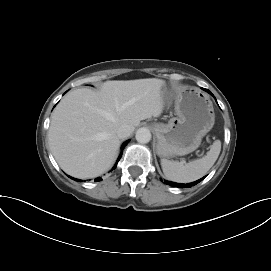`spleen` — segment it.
<instances>
[{"label":"spleen","mask_w":271,"mask_h":271,"mask_svg":"<svg viewBox=\"0 0 271 271\" xmlns=\"http://www.w3.org/2000/svg\"><path fill=\"white\" fill-rule=\"evenodd\" d=\"M221 151V141L216 140L207 154L184 164L183 162L161 159V167L165 177L178 183H189L203 177L216 162Z\"/></svg>","instance_id":"3e777b00"}]
</instances>
